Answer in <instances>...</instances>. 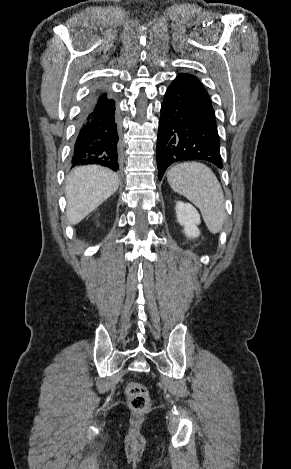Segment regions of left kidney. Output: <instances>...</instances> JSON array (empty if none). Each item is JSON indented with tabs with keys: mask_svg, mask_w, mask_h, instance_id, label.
<instances>
[{
	"mask_svg": "<svg viewBox=\"0 0 291 469\" xmlns=\"http://www.w3.org/2000/svg\"><path fill=\"white\" fill-rule=\"evenodd\" d=\"M176 215L178 223L184 227L183 232L187 238H196L200 235L197 227L201 222L200 215L191 204L178 201L176 203Z\"/></svg>",
	"mask_w": 291,
	"mask_h": 469,
	"instance_id": "5707ae66",
	"label": "left kidney"
}]
</instances>
